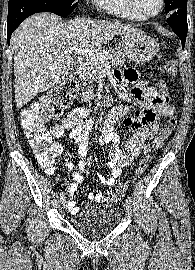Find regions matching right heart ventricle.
<instances>
[{"instance_id":"1","label":"right heart ventricle","mask_w":195,"mask_h":270,"mask_svg":"<svg viewBox=\"0 0 195 270\" xmlns=\"http://www.w3.org/2000/svg\"><path fill=\"white\" fill-rule=\"evenodd\" d=\"M99 6L107 13L123 19L132 21L143 20L129 9L126 0H100Z\"/></svg>"}]
</instances>
